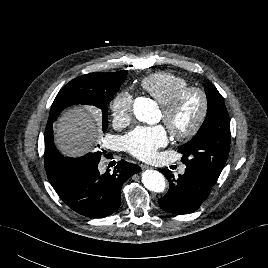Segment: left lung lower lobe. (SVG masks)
<instances>
[{
  "label": "left lung lower lobe",
  "mask_w": 268,
  "mask_h": 268,
  "mask_svg": "<svg viewBox=\"0 0 268 268\" xmlns=\"http://www.w3.org/2000/svg\"><path fill=\"white\" fill-rule=\"evenodd\" d=\"M159 171L170 183L168 193L158 201L159 206L174 214H189L197 210L217 180L208 171L192 166H187L185 173L178 178H174L168 169Z\"/></svg>",
  "instance_id": "0a47b994"
}]
</instances>
